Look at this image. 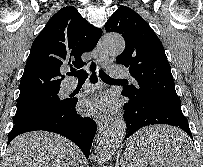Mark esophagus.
Instances as JSON below:
<instances>
[{
	"instance_id": "34e87169",
	"label": "esophagus",
	"mask_w": 203,
	"mask_h": 167,
	"mask_svg": "<svg viewBox=\"0 0 203 167\" xmlns=\"http://www.w3.org/2000/svg\"><path fill=\"white\" fill-rule=\"evenodd\" d=\"M96 48H97V51H98L99 63L103 68H106L108 66V63H109V57L104 52V50L102 48V40L101 39L99 40ZM109 123H110V119H104V120L98 121V123H97L98 130L99 131L105 130L108 127Z\"/></svg>"
}]
</instances>
